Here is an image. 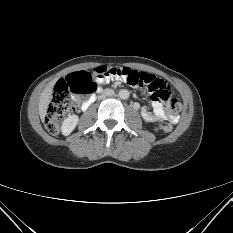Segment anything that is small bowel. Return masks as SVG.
<instances>
[{
    "label": "small bowel",
    "mask_w": 233,
    "mask_h": 233,
    "mask_svg": "<svg viewBox=\"0 0 233 233\" xmlns=\"http://www.w3.org/2000/svg\"><path fill=\"white\" fill-rule=\"evenodd\" d=\"M149 75H151V74H149ZM151 76H153V75H151ZM154 78H156V77H154ZM113 79L118 81V82H125V79H119V77H116V76H113V77L97 76L96 81H97L98 85H103L108 80H113ZM92 101H93V98H90V99L86 100L85 102H83L82 106H81L82 109H86L91 104ZM141 116H142L143 120L146 122L170 120L172 123H177L179 120V117L177 115L168 114L165 106L162 103L154 104L153 110H150L147 107H143L141 109Z\"/></svg>",
    "instance_id": "c3829d8e"
}]
</instances>
